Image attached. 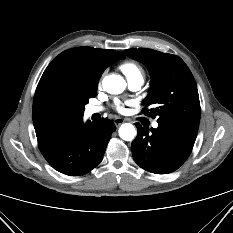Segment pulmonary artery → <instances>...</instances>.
<instances>
[{"mask_svg":"<svg viewBox=\"0 0 233 233\" xmlns=\"http://www.w3.org/2000/svg\"><path fill=\"white\" fill-rule=\"evenodd\" d=\"M128 84L131 90L136 91L139 90L143 84V79H134V80H128ZM103 109L102 107H98V106H89L87 108V113L88 115H92L98 112H101ZM152 127L153 128H157L158 127V122L154 121L152 123Z\"/></svg>","mask_w":233,"mask_h":233,"instance_id":"1","label":"pulmonary artery"}]
</instances>
